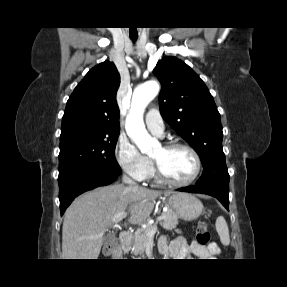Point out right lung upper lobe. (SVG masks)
Listing matches in <instances>:
<instances>
[{"label": "right lung upper lobe", "instance_id": "1", "mask_svg": "<svg viewBox=\"0 0 287 287\" xmlns=\"http://www.w3.org/2000/svg\"><path fill=\"white\" fill-rule=\"evenodd\" d=\"M120 75L112 62L92 68L67 101L61 130L78 124L99 129L120 130L116 93Z\"/></svg>", "mask_w": 287, "mask_h": 287}]
</instances>
